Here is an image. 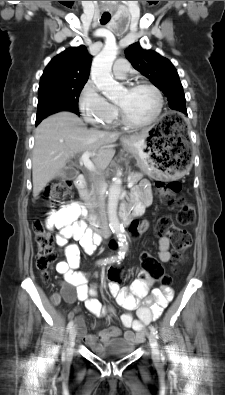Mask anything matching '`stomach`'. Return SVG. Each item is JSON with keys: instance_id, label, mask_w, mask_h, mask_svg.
<instances>
[{"instance_id": "stomach-1", "label": "stomach", "mask_w": 225, "mask_h": 395, "mask_svg": "<svg viewBox=\"0 0 225 395\" xmlns=\"http://www.w3.org/2000/svg\"><path fill=\"white\" fill-rule=\"evenodd\" d=\"M180 136L166 134L154 124L140 133L122 139L123 145L135 156L138 167L151 178L177 179L188 168ZM180 143V144H177Z\"/></svg>"}]
</instances>
